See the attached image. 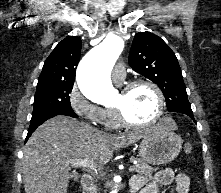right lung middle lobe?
Segmentation results:
<instances>
[{"instance_id": "obj_1", "label": "right lung middle lobe", "mask_w": 221, "mask_h": 193, "mask_svg": "<svg viewBox=\"0 0 221 193\" xmlns=\"http://www.w3.org/2000/svg\"><path fill=\"white\" fill-rule=\"evenodd\" d=\"M72 88L73 84L37 86L32 118L52 111H73L69 97Z\"/></svg>"}]
</instances>
